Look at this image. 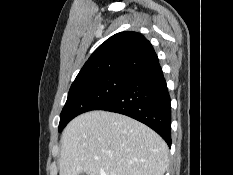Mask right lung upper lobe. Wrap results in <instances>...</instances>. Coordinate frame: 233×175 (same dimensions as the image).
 Returning <instances> with one entry per match:
<instances>
[{"mask_svg":"<svg viewBox=\"0 0 233 175\" xmlns=\"http://www.w3.org/2000/svg\"><path fill=\"white\" fill-rule=\"evenodd\" d=\"M158 63L154 48L143 35L121 32L111 36L93 52L74 82L109 74L134 77Z\"/></svg>","mask_w":233,"mask_h":175,"instance_id":"obj_1","label":"right lung upper lobe"}]
</instances>
